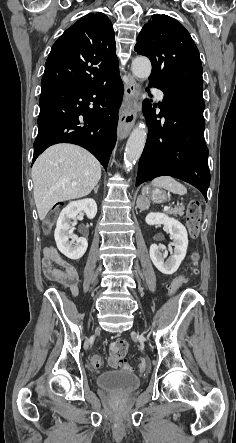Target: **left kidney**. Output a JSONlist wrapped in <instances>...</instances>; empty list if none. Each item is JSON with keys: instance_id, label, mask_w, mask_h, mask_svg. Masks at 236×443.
<instances>
[{"instance_id": "1", "label": "left kidney", "mask_w": 236, "mask_h": 443, "mask_svg": "<svg viewBox=\"0 0 236 443\" xmlns=\"http://www.w3.org/2000/svg\"><path fill=\"white\" fill-rule=\"evenodd\" d=\"M148 225H164L170 233L173 254L166 260L167 251L161 252V248L156 244L150 246V258L155 267L163 274L171 275L177 271L181 262L184 260L188 247V234L186 228L176 219L168 217L163 213H149L146 216Z\"/></svg>"}]
</instances>
